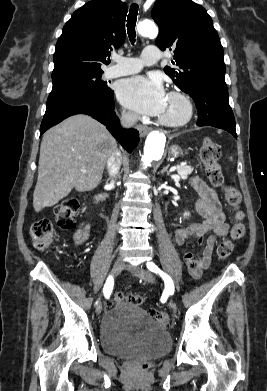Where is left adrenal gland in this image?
Listing matches in <instances>:
<instances>
[{"instance_id":"1","label":"left adrenal gland","mask_w":267,"mask_h":391,"mask_svg":"<svg viewBox=\"0 0 267 391\" xmlns=\"http://www.w3.org/2000/svg\"><path fill=\"white\" fill-rule=\"evenodd\" d=\"M168 168H169V164L161 170V174H163L164 172H167L169 174Z\"/></svg>"}]
</instances>
